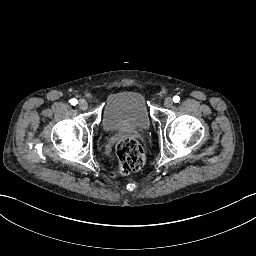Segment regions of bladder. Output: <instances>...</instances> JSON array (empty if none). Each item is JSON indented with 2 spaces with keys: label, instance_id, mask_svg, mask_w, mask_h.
Instances as JSON below:
<instances>
[{
  "label": "bladder",
  "instance_id": "bladder-1",
  "mask_svg": "<svg viewBox=\"0 0 256 256\" xmlns=\"http://www.w3.org/2000/svg\"><path fill=\"white\" fill-rule=\"evenodd\" d=\"M107 131L146 130L151 125L148 110L140 92L117 91L107 101L101 116Z\"/></svg>",
  "mask_w": 256,
  "mask_h": 256
}]
</instances>
